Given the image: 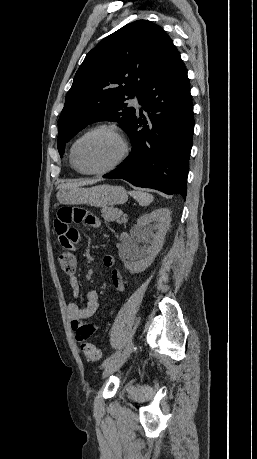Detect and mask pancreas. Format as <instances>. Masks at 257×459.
<instances>
[{
    "mask_svg": "<svg viewBox=\"0 0 257 459\" xmlns=\"http://www.w3.org/2000/svg\"><path fill=\"white\" fill-rule=\"evenodd\" d=\"M101 213H102V217L106 221H109V222L116 221L117 223H123V220L121 219L122 211L119 210L118 208H113V207L103 208Z\"/></svg>",
    "mask_w": 257,
    "mask_h": 459,
    "instance_id": "cf45deb5",
    "label": "pancreas"
}]
</instances>
